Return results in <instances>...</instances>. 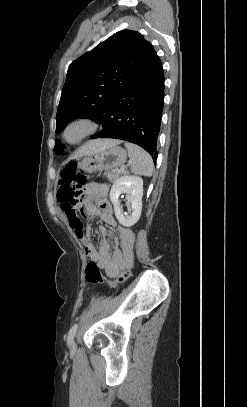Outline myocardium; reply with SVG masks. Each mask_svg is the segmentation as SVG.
<instances>
[{"mask_svg":"<svg viewBox=\"0 0 247 407\" xmlns=\"http://www.w3.org/2000/svg\"><path fill=\"white\" fill-rule=\"evenodd\" d=\"M97 123L88 116L71 119L62 130V141L67 145H78L97 130Z\"/></svg>","mask_w":247,"mask_h":407,"instance_id":"1","label":"myocardium"}]
</instances>
